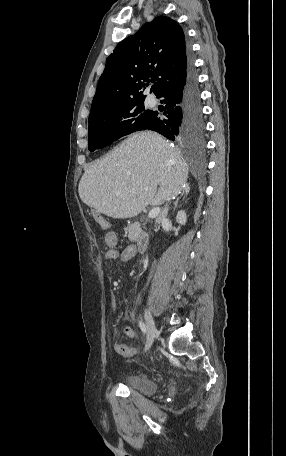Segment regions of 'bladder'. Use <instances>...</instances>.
I'll list each match as a JSON object with an SVG mask.
<instances>
[{
	"label": "bladder",
	"instance_id": "bladder-1",
	"mask_svg": "<svg viewBox=\"0 0 286 456\" xmlns=\"http://www.w3.org/2000/svg\"><path fill=\"white\" fill-rule=\"evenodd\" d=\"M123 383L144 395H151L157 391V384L145 374H128L123 377Z\"/></svg>",
	"mask_w": 286,
	"mask_h": 456
}]
</instances>
